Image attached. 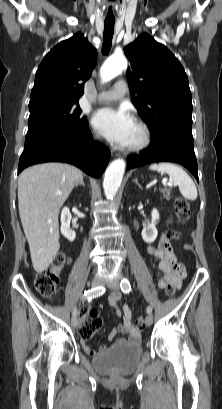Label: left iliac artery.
Wrapping results in <instances>:
<instances>
[{
    "mask_svg": "<svg viewBox=\"0 0 222 409\" xmlns=\"http://www.w3.org/2000/svg\"><path fill=\"white\" fill-rule=\"evenodd\" d=\"M120 287L123 293H129L131 291V285L128 279L123 278L120 283ZM146 312L148 314L152 313V308L150 306L147 307Z\"/></svg>",
    "mask_w": 222,
    "mask_h": 409,
    "instance_id": "1",
    "label": "left iliac artery"
}]
</instances>
